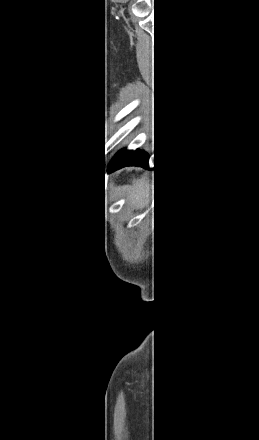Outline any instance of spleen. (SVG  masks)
I'll return each instance as SVG.
<instances>
[{"label":"spleen","instance_id":"1","mask_svg":"<svg viewBox=\"0 0 259 440\" xmlns=\"http://www.w3.org/2000/svg\"><path fill=\"white\" fill-rule=\"evenodd\" d=\"M151 184L145 177L133 179L131 186H118L114 189V196H125L129 208H143L150 203Z\"/></svg>","mask_w":259,"mask_h":440}]
</instances>
